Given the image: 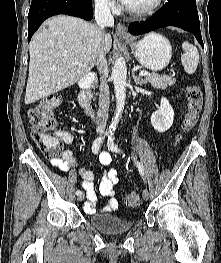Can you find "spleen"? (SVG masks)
Segmentation results:
<instances>
[{"instance_id": "obj_1", "label": "spleen", "mask_w": 221, "mask_h": 263, "mask_svg": "<svg viewBox=\"0 0 221 263\" xmlns=\"http://www.w3.org/2000/svg\"><path fill=\"white\" fill-rule=\"evenodd\" d=\"M183 54L181 56V61L183 68L186 73H195L198 62H199V52L197 48L189 42H184L182 44Z\"/></svg>"}]
</instances>
